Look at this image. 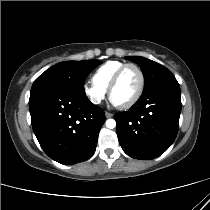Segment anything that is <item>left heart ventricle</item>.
Instances as JSON below:
<instances>
[{
	"instance_id": "1",
	"label": "left heart ventricle",
	"mask_w": 210,
	"mask_h": 210,
	"mask_svg": "<svg viewBox=\"0 0 210 210\" xmlns=\"http://www.w3.org/2000/svg\"><path fill=\"white\" fill-rule=\"evenodd\" d=\"M139 85L140 76L137 70L132 67L125 69L112 92V101L117 105L130 101L137 93Z\"/></svg>"
}]
</instances>
